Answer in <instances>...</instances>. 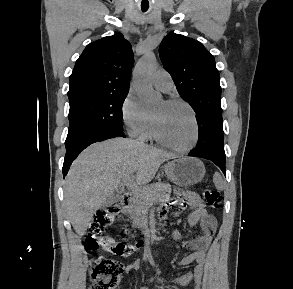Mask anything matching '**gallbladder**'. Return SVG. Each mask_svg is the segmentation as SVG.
<instances>
[{"instance_id": "bac80fb5", "label": "gallbladder", "mask_w": 293, "mask_h": 289, "mask_svg": "<svg viewBox=\"0 0 293 289\" xmlns=\"http://www.w3.org/2000/svg\"><path fill=\"white\" fill-rule=\"evenodd\" d=\"M121 199L120 193L116 192L113 193L111 196H109L106 201L104 202L103 206L108 207L116 202H118Z\"/></svg>"}]
</instances>
